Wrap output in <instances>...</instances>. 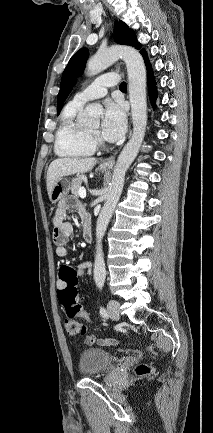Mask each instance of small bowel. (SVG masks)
<instances>
[{
	"label": "small bowel",
	"mask_w": 213,
	"mask_h": 433,
	"mask_svg": "<svg viewBox=\"0 0 213 433\" xmlns=\"http://www.w3.org/2000/svg\"><path fill=\"white\" fill-rule=\"evenodd\" d=\"M76 205L80 210V217L82 226H90V216L89 214L78 204L73 203L69 199H63L59 202L55 214L53 216V225H54V234L53 239L56 244L55 252L59 257H66L69 255L68 242L70 238L74 234V229L71 222L68 220V209L71 206ZM73 268L76 269L78 276L79 275H90L92 273V265L91 263H81ZM64 286L60 277L57 279V289L60 290ZM88 320V318H87ZM86 342L89 344H93L98 342L100 345L110 346L115 345L117 343L116 339L113 338H99L91 335L87 336Z\"/></svg>",
	"instance_id": "small-bowel-1"
}]
</instances>
